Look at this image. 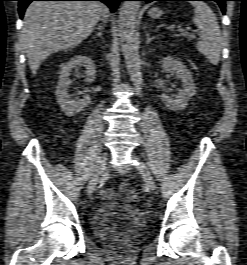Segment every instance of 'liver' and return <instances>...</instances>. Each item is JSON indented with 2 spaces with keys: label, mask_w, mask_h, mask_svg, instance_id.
Segmentation results:
<instances>
[{
  "label": "liver",
  "mask_w": 247,
  "mask_h": 265,
  "mask_svg": "<svg viewBox=\"0 0 247 265\" xmlns=\"http://www.w3.org/2000/svg\"><path fill=\"white\" fill-rule=\"evenodd\" d=\"M108 9L99 2L35 1L24 15L22 41L33 75L53 53L86 39Z\"/></svg>",
  "instance_id": "liver-1"
}]
</instances>
